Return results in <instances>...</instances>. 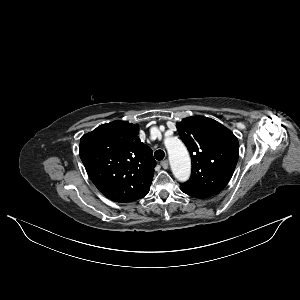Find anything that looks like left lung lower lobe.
Here are the masks:
<instances>
[{
	"instance_id": "0a47b994",
	"label": "left lung lower lobe",
	"mask_w": 300,
	"mask_h": 300,
	"mask_svg": "<svg viewBox=\"0 0 300 300\" xmlns=\"http://www.w3.org/2000/svg\"><path fill=\"white\" fill-rule=\"evenodd\" d=\"M181 190H182L184 193H186L187 195H190V196H193V197H196V198H202V197H200V196L193 195V194H191L190 192H188V191H186V190H184V189H182V188H181Z\"/></svg>"
}]
</instances>
